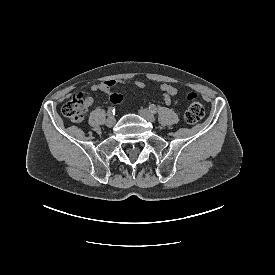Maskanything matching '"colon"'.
Wrapping results in <instances>:
<instances>
[{
	"label": "colon",
	"instance_id": "obj_1",
	"mask_svg": "<svg viewBox=\"0 0 275 275\" xmlns=\"http://www.w3.org/2000/svg\"><path fill=\"white\" fill-rule=\"evenodd\" d=\"M185 97L188 102V107L185 111L184 118L189 124L196 123L204 116V107L196 93L188 92ZM88 107L89 102L87 96L80 92L76 93L63 105L62 113L69 120L77 123L84 119Z\"/></svg>",
	"mask_w": 275,
	"mask_h": 275
}]
</instances>
